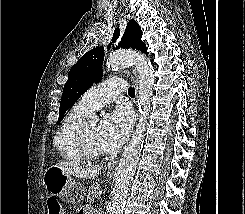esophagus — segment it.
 <instances>
[{"label": "esophagus", "instance_id": "obj_1", "mask_svg": "<svg viewBox=\"0 0 245 214\" xmlns=\"http://www.w3.org/2000/svg\"><path fill=\"white\" fill-rule=\"evenodd\" d=\"M130 76H131V79L134 83L136 98H137L138 97L137 96L138 95V88H139V77H138L137 72L134 69L131 70ZM117 163H118V159L110 161L108 164V167L113 168L117 165Z\"/></svg>", "mask_w": 245, "mask_h": 214}]
</instances>
